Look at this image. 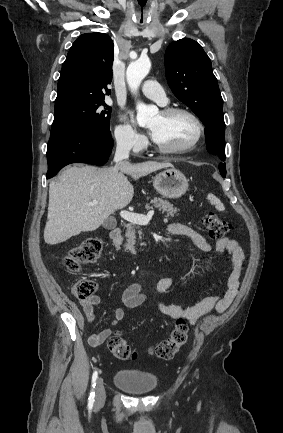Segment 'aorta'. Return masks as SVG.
<instances>
[{"label": "aorta", "instance_id": "obj_1", "mask_svg": "<svg viewBox=\"0 0 283 433\" xmlns=\"http://www.w3.org/2000/svg\"><path fill=\"white\" fill-rule=\"evenodd\" d=\"M150 68L151 62L148 58H139L129 64L126 71V80L131 92L137 93L142 80L147 76ZM136 110L137 122L140 126L149 124L158 112L155 106L146 105L143 102H137Z\"/></svg>", "mask_w": 283, "mask_h": 433}]
</instances>
